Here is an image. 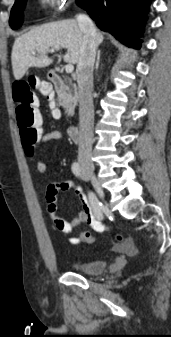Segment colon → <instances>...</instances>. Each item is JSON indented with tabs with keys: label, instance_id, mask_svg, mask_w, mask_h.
Segmentation results:
<instances>
[{
	"label": "colon",
	"instance_id": "colon-1",
	"mask_svg": "<svg viewBox=\"0 0 171 337\" xmlns=\"http://www.w3.org/2000/svg\"><path fill=\"white\" fill-rule=\"evenodd\" d=\"M35 88L42 91L43 98H48V102L51 104V106L48 107V112L53 113V118H64V113L57 110V97L55 96V92L50 91L49 86L40 79L34 78L19 81L13 85L17 125L20 130L21 144L29 157L34 155L39 139L42 138V133H45V126H41V115L32 93V90ZM80 236L88 243L93 241V236L89 232H82ZM115 241L119 248L123 250L130 251L134 249L133 243L122 234H117Z\"/></svg>",
	"mask_w": 171,
	"mask_h": 337
}]
</instances>
